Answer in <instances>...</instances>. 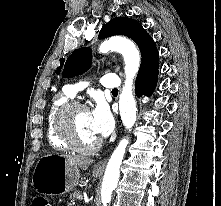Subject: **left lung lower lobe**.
<instances>
[{"instance_id":"1","label":"left lung lower lobe","mask_w":221,"mask_h":206,"mask_svg":"<svg viewBox=\"0 0 221 206\" xmlns=\"http://www.w3.org/2000/svg\"><path fill=\"white\" fill-rule=\"evenodd\" d=\"M158 71L136 80L135 92L138 97L152 94L157 84Z\"/></svg>"}]
</instances>
